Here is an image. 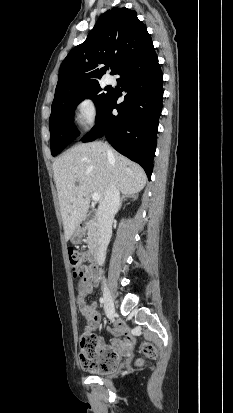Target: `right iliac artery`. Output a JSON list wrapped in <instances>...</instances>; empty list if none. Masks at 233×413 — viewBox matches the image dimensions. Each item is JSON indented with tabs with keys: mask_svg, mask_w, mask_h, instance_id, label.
I'll use <instances>...</instances> for the list:
<instances>
[{
	"mask_svg": "<svg viewBox=\"0 0 233 413\" xmlns=\"http://www.w3.org/2000/svg\"><path fill=\"white\" fill-rule=\"evenodd\" d=\"M100 303L103 304L104 303V298H100Z\"/></svg>",
	"mask_w": 233,
	"mask_h": 413,
	"instance_id": "obj_1",
	"label": "right iliac artery"
}]
</instances>
